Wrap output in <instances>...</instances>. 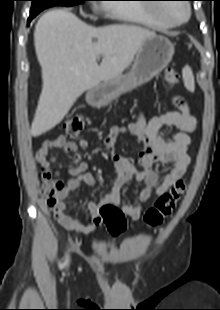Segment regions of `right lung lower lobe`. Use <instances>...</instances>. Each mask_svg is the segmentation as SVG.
Returning <instances> with one entry per match:
<instances>
[{"label":"right lung lower lobe","instance_id":"1","mask_svg":"<svg viewBox=\"0 0 220 310\" xmlns=\"http://www.w3.org/2000/svg\"><path fill=\"white\" fill-rule=\"evenodd\" d=\"M37 14H30L29 18H28V22L27 24L29 25L30 21L36 16Z\"/></svg>","mask_w":220,"mask_h":310}]
</instances>
